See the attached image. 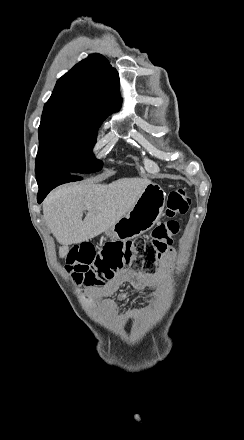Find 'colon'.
<instances>
[{
    "instance_id": "obj_1",
    "label": "colon",
    "mask_w": 244,
    "mask_h": 440,
    "mask_svg": "<svg viewBox=\"0 0 244 440\" xmlns=\"http://www.w3.org/2000/svg\"><path fill=\"white\" fill-rule=\"evenodd\" d=\"M189 207L190 200L186 191L182 188L174 189L167 196L165 215L168 218L183 216L188 213ZM179 228L177 222L168 221L158 224L147 240L108 241L98 251L92 245L70 248V262H66L65 269L79 282H84V276L91 274L94 286L112 279L121 270L135 269L151 273L156 260L167 250ZM83 311L89 312L90 306L84 305Z\"/></svg>"
}]
</instances>
